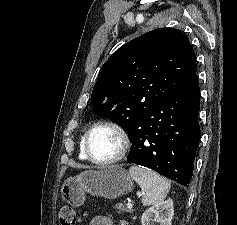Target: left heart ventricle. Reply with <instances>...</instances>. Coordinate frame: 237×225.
Masks as SVG:
<instances>
[{"mask_svg":"<svg viewBox=\"0 0 237 225\" xmlns=\"http://www.w3.org/2000/svg\"><path fill=\"white\" fill-rule=\"evenodd\" d=\"M89 148L92 156L97 159H108L115 155L119 149V139L110 129L100 128L90 137Z\"/></svg>","mask_w":237,"mask_h":225,"instance_id":"1","label":"left heart ventricle"}]
</instances>
